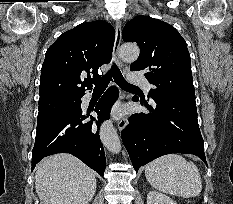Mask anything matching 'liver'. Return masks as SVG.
Masks as SVG:
<instances>
[{"mask_svg": "<svg viewBox=\"0 0 233 204\" xmlns=\"http://www.w3.org/2000/svg\"><path fill=\"white\" fill-rule=\"evenodd\" d=\"M35 170L41 204H88L96 192L94 172L70 154L46 157Z\"/></svg>", "mask_w": 233, "mask_h": 204, "instance_id": "6515ba94", "label": "liver"}]
</instances>
